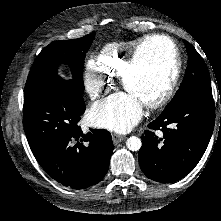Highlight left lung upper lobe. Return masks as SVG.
<instances>
[{
	"label": "left lung upper lobe",
	"mask_w": 221,
	"mask_h": 221,
	"mask_svg": "<svg viewBox=\"0 0 221 221\" xmlns=\"http://www.w3.org/2000/svg\"><path fill=\"white\" fill-rule=\"evenodd\" d=\"M184 43L189 55L188 66L180 88L164 110L172 109L192 95L212 96L210 75L203 58L191 44Z\"/></svg>",
	"instance_id": "left-lung-upper-lobe-1"
}]
</instances>
